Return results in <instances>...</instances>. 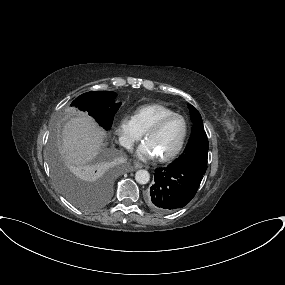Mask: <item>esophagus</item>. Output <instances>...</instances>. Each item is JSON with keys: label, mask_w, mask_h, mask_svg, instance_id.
I'll return each mask as SVG.
<instances>
[{"label": "esophagus", "mask_w": 285, "mask_h": 285, "mask_svg": "<svg viewBox=\"0 0 285 285\" xmlns=\"http://www.w3.org/2000/svg\"><path fill=\"white\" fill-rule=\"evenodd\" d=\"M143 167V165L142 164H140V163H136L134 166H132V167H130L129 169H128V171H135L136 169H140V168H142Z\"/></svg>", "instance_id": "1"}]
</instances>
